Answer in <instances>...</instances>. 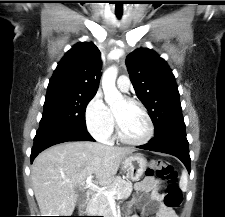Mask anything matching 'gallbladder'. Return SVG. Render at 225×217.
<instances>
[{
    "instance_id": "1",
    "label": "gallbladder",
    "mask_w": 225,
    "mask_h": 217,
    "mask_svg": "<svg viewBox=\"0 0 225 217\" xmlns=\"http://www.w3.org/2000/svg\"><path fill=\"white\" fill-rule=\"evenodd\" d=\"M86 200V194L85 192L81 191V190H78L77 191V201H76V204L78 206H81L82 204H84Z\"/></svg>"
}]
</instances>
